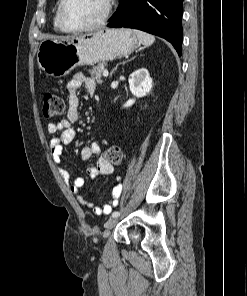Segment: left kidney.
Segmentation results:
<instances>
[{"label":"left kidney","instance_id":"left-kidney-1","mask_svg":"<svg viewBox=\"0 0 247 296\" xmlns=\"http://www.w3.org/2000/svg\"><path fill=\"white\" fill-rule=\"evenodd\" d=\"M153 80L150 77L149 71L141 68L133 72L129 77V87L132 94L137 97L146 96L152 89ZM135 103V99L128 100L123 107L128 108Z\"/></svg>","mask_w":247,"mask_h":296}]
</instances>
